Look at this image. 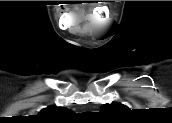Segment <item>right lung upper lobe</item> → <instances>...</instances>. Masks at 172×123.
I'll list each match as a JSON object with an SVG mask.
<instances>
[{"mask_svg":"<svg viewBox=\"0 0 172 123\" xmlns=\"http://www.w3.org/2000/svg\"><path fill=\"white\" fill-rule=\"evenodd\" d=\"M69 112L71 111L64 107L49 106L41 110L37 118L44 120H55L61 116L67 115Z\"/></svg>","mask_w":172,"mask_h":123,"instance_id":"cb5924a9","label":"right lung upper lobe"}]
</instances>
